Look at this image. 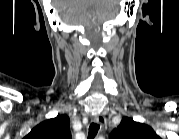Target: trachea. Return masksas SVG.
Here are the masks:
<instances>
[{"label": "trachea", "instance_id": "3493384b", "mask_svg": "<svg viewBox=\"0 0 179 139\" xmlns=\"http://www.w3.org/2000/svg\"><path fill=\"white\" fill-rule=\"evenodd\" d=\"M99 128V124L91 123L88 131V139H93L97 135Z\"/></svg>", "mask_w": 179, "mask_h": 139}]
</instances>
